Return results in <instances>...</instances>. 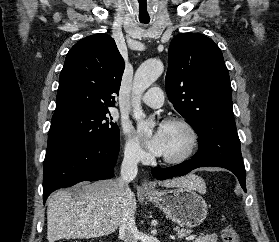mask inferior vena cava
Masks as SVG:
<instances>
[{"label": "inferior vena cava", "instance_id": "inferior-vena-cava-1", "mask_svg": "<svg viewBox=\"0 0 279 242\" xmlns=\"http://www.w3.org/2000/svg\"><path fill=\"white\" fill-rule=\"evenodd\" d=\"M140 160V153L137 148H130L125 151L121 165V178L119 186L121 189V217L119 220V237L124 242H137L138 230L135 224L134 210L132 208L133 193L129 188V183L137 173V164Z\"/></svg>", "mask_w": 279, "mask_h": 242}]
</instances>
